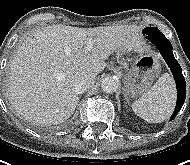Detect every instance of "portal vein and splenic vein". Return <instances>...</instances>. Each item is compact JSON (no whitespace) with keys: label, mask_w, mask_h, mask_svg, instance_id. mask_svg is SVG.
Here are the masks:
<instances>
[{"label":"portal vein and splenic vein","mask_w":190,"mask_h":165,"mask_svg":"<svg viewBox=\"0 0 190 165\" xmlns=\"http://www.w3.org/2000/svg\"><path fill=\"white\" fill-rule=\"evenodd\" d=\"M92 47H93V41H92V39H88L87 45L85 47V51H90L92 49Z\"/></svg>","instance_id":"portal-vein-and-splenic-vein-1"}]
</instances>
